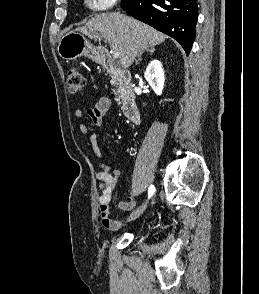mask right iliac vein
Returning a JSON list of instances; mask_svg holds the SVG:
<instances>
[{
  "instance_id": "obj_1",
  "label": "right iliac vein",
  "mask_w": 259,
  "mask_h": 294,
  "mask_svg": "<svg viewBox=\"0 0 259 294\" xmlns=\"http://www.w3.org/2000/svg\"><path fill=\"white\" fill-rule=\"evenodd\" d=\"M147 207V204L141 205L139 208H137L134 212L131 213V215L128 217L127 221H133L137 218H139L143 212L145 211Z\"/></svg>"
}]
</instances>
